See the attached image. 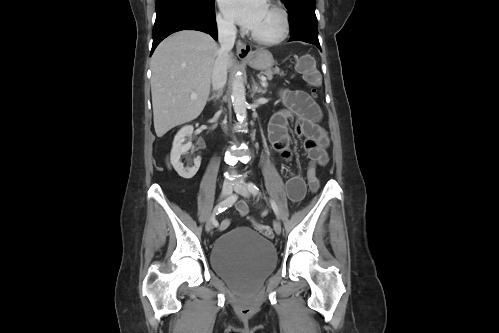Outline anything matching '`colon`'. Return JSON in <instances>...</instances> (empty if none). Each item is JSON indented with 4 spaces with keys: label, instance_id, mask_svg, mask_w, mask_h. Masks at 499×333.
Here are the masks:
<instances>
[{
    "label": "colon",
    "instance_id": "colon-1",
    "mask_svg": "<svg viewBox=\"0 0 499 333\" xmlns=\"http://www.w3.org/2000/svg\"><path fill=\"white\" fill-rule=\"evenodd\" d=\"M297 69L303 75L305 81L312 87V96L317 97V90L321 86L322 77L320 72L315 67L314 60L307 56L300 58L297 64ZM306 179L310 189L312 191H316L319 187L316 163H309L306 171ZM254 226L262 235L266 237L272 236V231L269 226L256 221H254Z\"/></svg>",
    "mask_w": 499,
    "mask_h": 333
}]
</instances>
